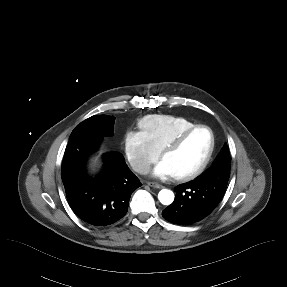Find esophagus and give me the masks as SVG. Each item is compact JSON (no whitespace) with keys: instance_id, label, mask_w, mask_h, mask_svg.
Segmentation results:
<instances>
[{"instance_id":"1","label":"esophagus","mask_w":287,"mask_h":287,"mask_svg":"<svg viewBox=\"0 0 287 287\" xmlns=\"http://www.w3.org/2000/svg\"><path fill=\"white\" fill-rule=\"evenodd\" d=\"M148 185H149L150 187L157 188V189L163 188V186L160 185V184H158V183L149 182Z\"/></svg>"}]
</instances>
